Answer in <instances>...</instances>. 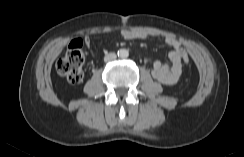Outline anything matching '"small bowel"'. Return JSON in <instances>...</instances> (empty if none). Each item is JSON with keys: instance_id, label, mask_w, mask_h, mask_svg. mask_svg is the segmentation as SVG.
Wrapping results in <instances>:
<instances>
[{"instance_id": "obj_1", "label": "small bowel", "mask_w": 244, "mask_h": 157, "mask_svg": "<svg viewBox=\"0 0 244 157\" xmlns=\"http://www.w3.org/2000/svg\"><path fill=\"white\" fill-rule=\"evenodd\" d=\"M121 36L125 40L146 39L153 37L152 35L146 33L129 30H123L121 32ZM164 41L171 48V51L169 52L170 64H162L157 60H149L151 65V74L158 82L164 85H173L180 79L182 72V56L185 51L181 44L174 38L166 37ZM84 42L87 47H90L91 38L87 36L84 39Z\"/></svg>"}]
</instances>
